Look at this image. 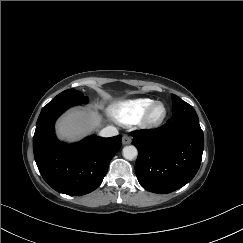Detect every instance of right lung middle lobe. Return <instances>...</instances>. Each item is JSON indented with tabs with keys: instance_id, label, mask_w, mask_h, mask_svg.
<instances>
[{
	"instance_id": "1",
	"label": "right lung middle lobe",
	"mask_w": 243,
	"mask_h": 243,
	"mask_svg": "<svg viewBox=\"0 0 243 243\" xmlns=\"http://www.w3.org/2000/svg\"><path fill=\"white\" fill-rule=\"evenodd\" d=\"M87 102H88V97L84 96L80 91H77L75 89H68L58 94L47 105H52L55 103L76 105V104H86Z\"/></svg>"
}]
</instances>
